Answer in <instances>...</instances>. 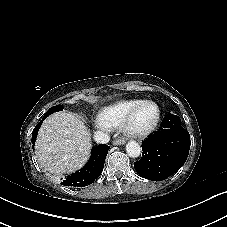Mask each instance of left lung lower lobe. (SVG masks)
Returning <instances> with one entry per match:
<instances>
[{
    "label": "left lung lower lobe",
    "mask_w": 227,
    "mask_h": 227,
    "mask_svg": "<svg viewBox=\"0 0 227 227\" xmlns=\"http://www.w3.org/2000/svg\"><path fill=\"white\" fill-rule=\"evenodd\" d=\"M189 149L190 135L181 126V119L168 114L158 131L142 142V157L134 168L143 178L162 181L183 166Z\"/></svg>",
    "instance_id": "obj_1"
}]
</instances>
